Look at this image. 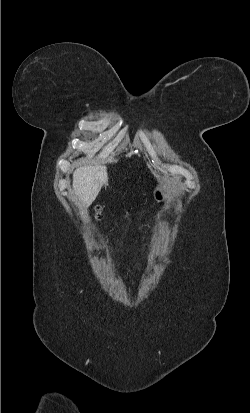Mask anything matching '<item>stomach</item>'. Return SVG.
Masks as SVG:
<instances>
[{"label": "stomach", "instance_id": "0dacf381", "mask_svg": "<svg viewBox=\"0 0 250 413\" xmlns=\"http://www.w3.org/2000/svg\"><path fill=\"white\" fill-rule=\"evenodd\" d=\"M173 184L161 183L156 186L154 190V199L158 203L165 202L168 198L169 193L172 191Z\"/></svg>", "mask_w": 250, "mask_h": 413}]
</instances>
